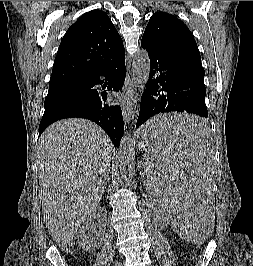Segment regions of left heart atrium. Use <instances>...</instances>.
<instances>
[{
    "instance_id": "39dd6f15",
    "label": "left heart atrium",
    "mask_w": 253,
    "mask_h": 266,
    "mask_svg": "<svg viewBox=\"0 0 253 266\" xmlns=\"http://www.w3.org/2000/svg\"><path fill=\"white\" fill-rule=\"evenodd\" d=\"M119 98L122 99L123 101H126L129 99L128 96L126 95L120 96Z\"/></svg>"
}]
</instances>
